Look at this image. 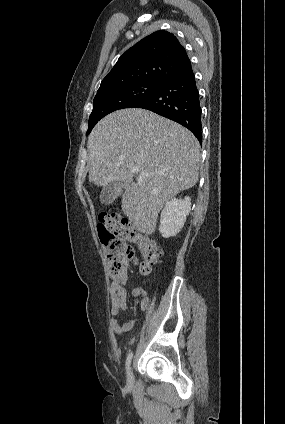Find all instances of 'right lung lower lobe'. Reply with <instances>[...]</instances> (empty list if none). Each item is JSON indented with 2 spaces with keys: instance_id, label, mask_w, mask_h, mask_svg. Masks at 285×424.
<instances>
[{
  "instance_id": "98d812e1",
  "label": "right lung lower lobe",
  "mask_w": 285,
  "mask_h": 424,
  "mask_svg": "<svg viewBox=\"0 0 285 424\" xmlns=\"http://www.w3.org/2000/svg\"><path fill=\"white\" fill-rule=\"evenodd\" d=\"M131 108L147 109L171 119L189 129L202 142L201 107L191 65Z\"/></svg>"
}]
</instances>
